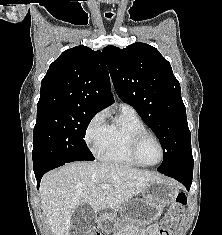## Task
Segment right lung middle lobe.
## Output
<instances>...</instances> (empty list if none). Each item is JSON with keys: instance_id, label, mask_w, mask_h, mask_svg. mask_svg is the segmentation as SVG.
I'll return each instance as SVG.
<instances>
[{"instance_id": "obj_1", "label": "right lung middle lobe", "mask_w": 222, "mask_h": 235, "mask_svg": "<svg viewBox=\"0 0 222 235\" xmlns=\"http://www.w3.org/2000/svg\"><path fill=\"white\" fill-rule=\"evenodd\" d=\"M96 113L67 107L38 112L32 151L34 172L58 163L95 160L84 137Z\"/></svg>"}]
</instances>
